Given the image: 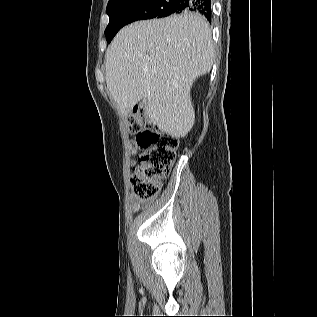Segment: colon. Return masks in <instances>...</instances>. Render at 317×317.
<instances>
[{"label": "colon", "mask_w": 317, "mask_h": 317, "mask_svg": "<svg viewBox=\"0 0 317 317\" xmlns=\"http://www.w3.org/2000/svg\"><path fill=\"white\" fill-rule=\"evenodd\" d=\"M128 129L134 134L132 151L136 155V172L131 179L133 194L139 201H149L158 194L161 181L170 172L178 139L145 121L137 107L128 119Z\"/></svg>", "instance_id": "obj_1"}]
</instances>
